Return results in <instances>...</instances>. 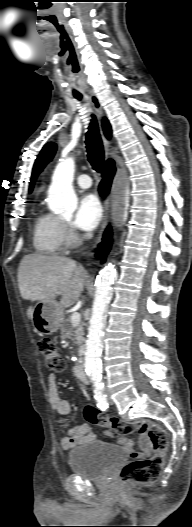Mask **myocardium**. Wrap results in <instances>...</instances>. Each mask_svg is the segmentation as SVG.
I'll use <instances>...</instances> for the list:
<instances>
[{
    "label": "myocardium",
    "mask_w": 192,
    "mask_h": 527,
    "mask_svg": "<svg viewBox=\"0 0 192 527\" xmlns=\"http://www.w3.org/2000/svg\"><path fill=\"white\" fill-rule=\"evenodd\" d=\"M65 241L70 244H76L78 242V237L69 229L64 227Z\"/></svg>",
    "instance_id": "f54148a6"
}]
</instances>
